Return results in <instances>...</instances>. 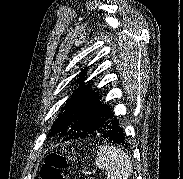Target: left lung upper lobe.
<instances>
[{"instance_id":"left-lung-upper-lobe-1","label":"left lung upper lobe","mask_w":183,"mask_h":179,"mask_svg":"<svg viewBox=\"0 0 183 179\" xmlns=\"http://www.w3.org/2000/svg\"><path fill=\"white\" fill-rule=\"evenodd\" d=\"M86 74L83 70L81 74ZM81 76L75 82L81 83L79 88L62 107L49 135L64 136L63 141L87 137L98 130L112 115L110 109L99 100V95L90 92V85H85Z\"/></svg>"}]
</instances>
